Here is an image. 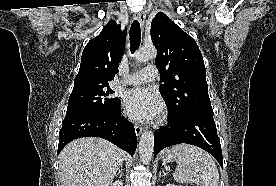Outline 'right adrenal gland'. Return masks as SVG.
I'll return each mask as SVG.
<instances>
[{"label":"right adrenal gland","mask_w":276,"mask_h":186,"mask_svg":"<svg viewBox=\"0 0 276 186\" xmlns=\"http://www.w3.org/2000/svg\"><path fill=\"white\" fill-rule=\"evenodd\" d=\"M122 170H123V166L120 167L118 173H117V176L120 175V177H122Z\"/></svg>","instance_id":"obj_1"}]
</instances>
